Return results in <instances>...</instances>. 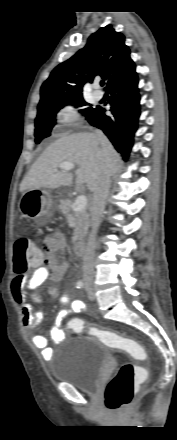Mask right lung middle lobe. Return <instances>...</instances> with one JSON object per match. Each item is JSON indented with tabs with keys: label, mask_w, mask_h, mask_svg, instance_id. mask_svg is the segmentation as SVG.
Listing matches in <instances>:
<instances>
[{
	"label": "right lung middle lobe",
	"mask_w": 177,
	"mask_h": 440,
	"mask_svg": "<svg viewBox=\"0 0 177 440\" xmlns=\"http://www.w3.org/2000/svg\"><path fill=\"white\" fill-rule=\"evenodd\" d=\"M66 105H74L77 107H85L89 105L83 99V96L61 99L49 104L38 106V113L35 119V142L40 143L41 140L51 135V130L56 124L55 116L57 112ZM94 110L92 107H86L80 110L81 113L88 115Z\"/></svg>",
	"instance_id": "right-lung-middle-lobe-1"
}]
</instances>
